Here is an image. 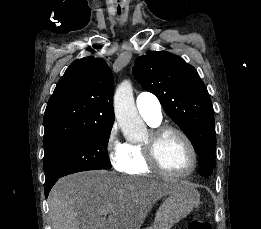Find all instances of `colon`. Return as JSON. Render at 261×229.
<instances>
[{"mask_svg":"<svg viewBox=\"0 0 261 229\" xmlns=\"http://www.w3.org/2000/svg\"><path fill=\"white\" fill-rule=\"evenodd\" d=\"M187 229H212V226L203 217H194L189 220Z\"/></svg>","mask_w":261,"mask_h":229,"instance_id":"colon-1","label":"colon"}]
</instances>
